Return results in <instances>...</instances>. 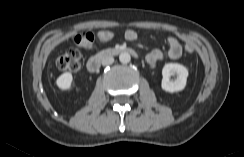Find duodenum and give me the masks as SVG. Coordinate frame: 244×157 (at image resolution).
Here are the masks:
<instances>
[{
	"mask_svg": "<svg viewBox=\"0 0 244 157\" xmlns=\"http://www.w3.org/2000/svg\"><path fill=\"white\" fill-rule=\"evenodd\" d=\"M122 53H130V54H135V51L130 49V48H125V47H117V48H110L103 50L96 55L92 56L88 62H87V69L90 72H96L100 65L101 62L104 58L110 57V56H116Z\"/></svg>",
	"mask_w": 244,
	"mask_h": 157,
	"instance_id": "obj_1",
	"label": "duodenum"
}]
</instances>
